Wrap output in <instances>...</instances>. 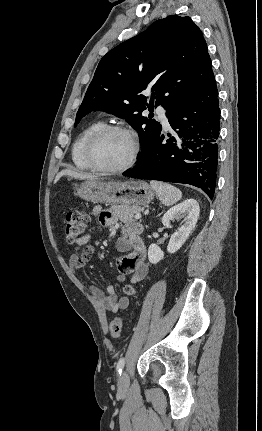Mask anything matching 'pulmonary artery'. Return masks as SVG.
I'll use <instances>...</instances> for the list:
<instances>
[{
    "instance_id": "pulmonary-artery-1",
    "label": "pulmonary artery",
    "mask_w": 262,
    "mask_h": 431,
    "mask_svg": "<svg viewBox=\"0 0 262 431\" xmlns=\"http://www.w3.org/2000/svg\"><path fill=\"white\" fill-rule=\"evenodd\" d=\"M159 118L162 121L165 128H169V122L167 120V117L165 115V109L159 108L158 109Z\"/></svg>"
}]
</instances>
